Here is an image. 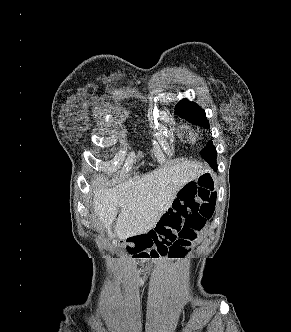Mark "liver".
Instances as JSON below:
<instances>
[{
	"instance_id": "6515ba94",
	"label": "liver",
	"mask_w": 291,
	"mask_h": 332,
	"mask_svg": "<svg viewBox=\"0 0 291 332\" xmlns=\"http://www.w3.org/2000/svg\"><path fill=\"white\" fill-rule=\"evenodd\" d=\"M205 171L199 162L178 159L112 188L100 187L94 191L93 210L109 235L114 220L115 234L122 239L147 233L171 207L180 189Z\"/></svg>"
}]
</instances>
